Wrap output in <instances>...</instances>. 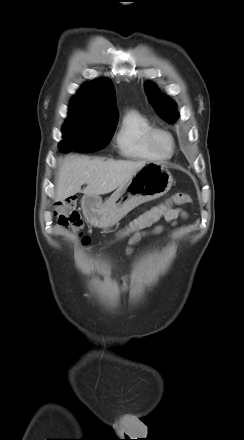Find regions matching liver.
Masks as SVG:
<instances>
[{
	"instance_id": "6515ba94",
	"label": "liver",
	"mask_w": 244,
	"mask_h": 440,
	"mask_svg": "<svg viewBox=\"0 0 244 440\" xmlns=\"http://www.w3.org/2000/svg\"><path fill=\"white\" fill-rule=\"evenodd\" d=\"M145 161H114L88 156L64 158L56 179V200L83 192L99 196L118 189L138 171ZM87 184L84 190L81 186Z\"/></svg>"
}]
</instances>
